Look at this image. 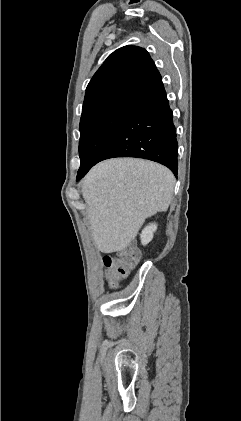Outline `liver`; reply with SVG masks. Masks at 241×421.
<instances>
[{
  "label": "liver",
  "instance_id": "liver-1",
  "mask_svg": "<svg viewBox=\"0 0 241 421\" xmlns=\"http://www.w3.org/2000/svg\"><path fill=\"white\" fill-rule=\"evenodd\" d=\"M175 177L155 162L115 158L94 166L82 182L95 246L103 253L125 250L146 218L167 211Z\"/></svg>",
  "mask_w": 241,
  "mask_h": 421
}]
</instances>
